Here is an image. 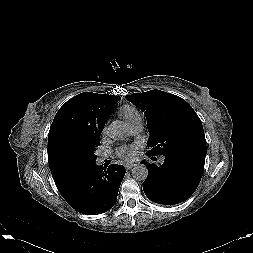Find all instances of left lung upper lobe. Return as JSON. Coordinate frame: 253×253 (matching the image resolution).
Listing matches in <instances>:
<instances>
[{"label":"left lung upper lobe","mask_w":253,"mask_h":253,"mask_svg":"<svg viewBox=\"0 0 253 253\" xmlns=\"http://www.w3.org/2000/svg\"><path fill=\"white\" fill-rule=\"evenodd\" d=\"M146 115L150 133L147 154L192 149L207 152L200 118L182 98L160 90L127 95Z\"/></svg>","instance_id":"5c2ea615"}]
</instances>
